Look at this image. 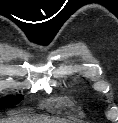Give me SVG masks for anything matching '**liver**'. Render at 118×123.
<instances>
[{
	"label": "liver",
	"instance_id": "obj_1",
	"mask_svg": "<svg viewBox=\"0 0 118 123\" xmlns=\"http://www.w3.org/2000/svg\"><path fill=\"white\" fill-rule=\"evenodd\" d=\"M0 123H71L69 120L50 118L45 116L16 115L11 118L0 120Z\"/></svg>",
	"mask_w": 118,
	"mask_h": 123
}]
</instances>
